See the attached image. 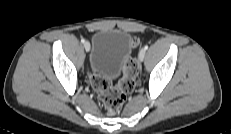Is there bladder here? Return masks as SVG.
Instances as JSON below:
<instances>
[{
    "instance_id": "31cf9c89",
    "label": "bladder",
    "mask_w": 231,
    "mask_h": 134,
    "mask_svg": "<svg viewBox=\"0 0 231 134\" xmlns=\"http://www.w3.org/2000/svg\"><path fill=\"white\" fill-rule=\"evenodd\" d=\"M133 50L132 36L120 29H102L94 33L88 59L91 72L106 80L118 79Z\"/></svg>"
}]
</instances>
